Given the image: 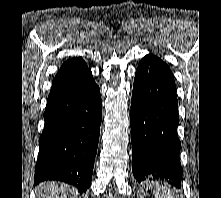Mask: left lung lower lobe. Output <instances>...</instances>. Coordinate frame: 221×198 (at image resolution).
<instances>
[{
	"mask_svg": "<svg viewBox=\"0 0 221 198\" xmlns=\"http://www.w3.org/2000/svg\"><path fill=\"white\" fill-rule=\"evenodd\" d=\"M130 123L134 177L141 182L154 176L180 187L176 86L168 65L152 54L140 61L135 73Z\"/></svg>",
	"mask_w": 221,
	"mask_h": 198,
	"instance_id": "left-lung-lower-lobe-1",
	"label": "left lung lower lobe"
}]
</instances>
